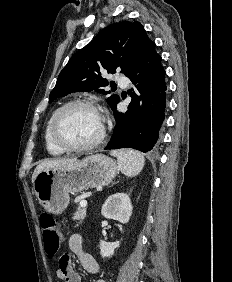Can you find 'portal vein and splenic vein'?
I'll return each instance as SVG.
<instances>
[{"label":"portal vein and splenic vein","mask_w":232,"mask_h":282,"mask_svg":"<svg viewBox=\"0 0 232 282\" xmlns=\"http://www.w3.org/2000/svg\"><path fill=\"white\" fill-rule=\"evenodd\" d=\"M80 207H82V208L87 207V201L86 200L80 201Z\"/></svg>","instance_id":"18ae733b"}]
</instances>
